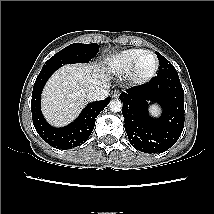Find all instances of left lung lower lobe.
I'll return each mask as SVG.
<instances>
[{"label": "left lung lower lobe", "instance_id": "1", "mask_svg": "<svg viewBox=\"0 0 214 214\" xmlns=\"http://www.w3.org/2000/svg\"><path fill=\"white\" fill-rule=\"evenodd\" d=\"M119 99L126 133L137 150L160 153L176 143L184 127V91L178 74L157 75L149 84L121 93ZM151 103L162 107L161 117L149 115Z\"/></svg>", "mask_w": 214, "mask_h": 214}]
</instances>
